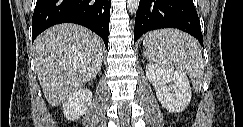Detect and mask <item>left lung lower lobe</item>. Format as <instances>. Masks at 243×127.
<instances>
[{
  "label": "left lung lower lobe",
  "instance_id": "left-lung-lower-lobe-1",
  "mask_svg": "<svg viewBox=\"0 0 243 127\" xmlns=\"http://www.w3.org/2000/svg\"><path fill=\"white\" fill-rule=\"evenodd\" d=\"M161 28L183 30L203 46L200 21L193 0H140L135 18L134 43L147 31Z\"/></svg>",
  "mask_w": 243,
  "mask_h": 127
}]
</instances>
